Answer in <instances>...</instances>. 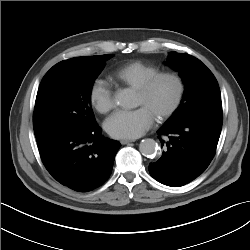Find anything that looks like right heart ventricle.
I'll list each match as a JSON object with an SVG mask.
<instances>
[{
	"mask_svg": "<svg viewBox=\"0 0 250 250\" xmlns=\"http://www.w3.org/2000/svg\"><path fill=\"white\" fill-rule=\"evenodd\" d=\"M160 70L157 66L143 61H132L117 68L112 79L120 84L137 89L145 80Z\"/></svg>",
	"mask_w": 250,
	"mask_h": 250,
	"instance_id": "1",
	"label": "right heart ventricle"
}]
</instances>
